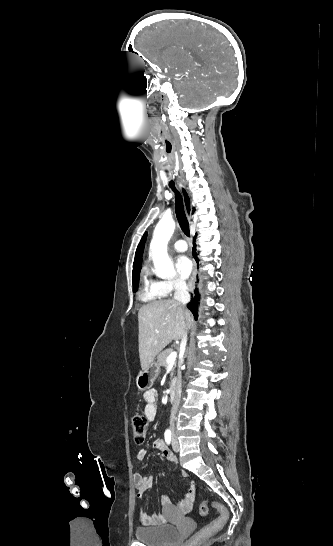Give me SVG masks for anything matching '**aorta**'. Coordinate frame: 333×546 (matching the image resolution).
Masks as SVG:
<instances>
[{"label": "aorta", "instance_id": "762f6f07", "mask_svg": "<svg viewBox=\"0 0 333 546\" xmlns=\"http://www.w3.org/2000/svg\"><path fill=\"white\" fill-rule=\"evenodd\" d=\"M175 222L172 219L163 218L154 230L150 249L156 269V275L161 278H173L175 270L172 261L168 257L167 245L174 232Z\"/></svg>", "mask_w": 333, "mask_h": 546}]
</instances>
